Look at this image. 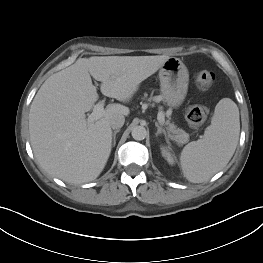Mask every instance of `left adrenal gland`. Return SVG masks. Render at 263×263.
Segmentation results:
<instances>
[{
	"instance_id": "a2214340",
	"label": "left adrenal gland",
	"mask_w": 263,
	"mask_h": 263,
	"mask_svg": "<svg viewBox=\"0 0 263 263\" xmlns=\"http://www.w3.org/2000/svg\"><path fill=\"white\" fill-rule=\"evenodd\" d=\"M155 126L157 127L156 136H158L160 134H164V136L167 138L166 131L157 122H155Z\"/></svg>"
}]
</instances>
